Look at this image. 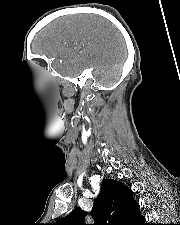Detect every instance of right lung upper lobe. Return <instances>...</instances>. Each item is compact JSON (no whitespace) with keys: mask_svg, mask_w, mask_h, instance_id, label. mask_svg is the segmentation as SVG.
Returning a JSON list of instances; mask_svg holds the SVG:
<instances>
[{"mask_svg":"<svg viewBox=\"0 0 180 225\" xmlns=\"http://www.w3.org/2000/svg\"><path fill=\"white\" fill-rule=\"evenodd\" d=\"M85 215L86 212L76 208L53 225H88L83 221ZM91 215L95 221L93 225H137L143 218L139 204L133 198V192L122 183L111 179L102 182Z\"/></svg>","mask_w":180,"mask_h":225,"instance_id":"right-lung-upper-lobe-1","label":"right lung upper lobe"}]
</instances>
